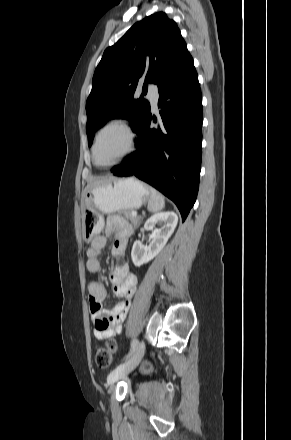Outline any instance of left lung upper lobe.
Wrapping results in <instances>:
<instances>
[{
	"label": "left lung upper lobe",
	"mask_w": 291,
	"mask_h": 440,
	"mask_svg": "<svg viewBox=\"0 0 291 440\" xmlns=\"http://www.w3.org/2000/svg\"><path fill=\"white\" fill-rule=\"evenodd\" d=\"M188 52L177 24L163 12L135 23L113 46L108 47L98 64L92 90L86 102L88 145L94 133L110 119L132 121L137 133L150 110L140 96L134 99L139 79L159 84Z\"/></svg>",
	"instance_id": "obj_1"
}]
</instances>
